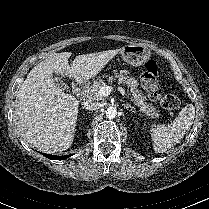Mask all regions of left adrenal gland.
Here are the masks:
<instances>
[{"instance_id": "obj_1", "label": "left adrenal gland", "mask_w": 209, "mask_h": 209, "mask_svg": "<svg viewBox=\"0 0 209 209\" xmlns=\"http://www.w3.org/2000/svg\"><path fill=\"white\" fill-rule=\"evenodd\" d=\"M123 106H124V108H126V109H131V110H133L134 109V107L133 106H131L130 104H123Z\"/></svg>"}]
</instances>
